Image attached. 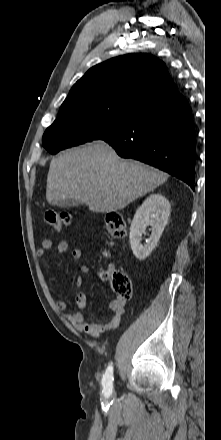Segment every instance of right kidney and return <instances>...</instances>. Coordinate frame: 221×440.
Returning a JSON list of instances; mask_svg holds the SVG:
<instances>
[{
  "label": "right kidney",
  "instance_id": "ca27d5eb",
  "mask_svg": "<svg viewBox=\"0 0 221 440\" xmlns=\"http://www.w3.org/2000/svg\"><path fill=\"white\" fill-rule=\"evenodd\" d=\"M170 215V203L161 194H152L146 198L136 211L130 227V245L135 257L144 260L157 245ZM152 232L146 244L141 242L147 226Z\"/></svg>",
  "mask_w": 221,
  "mask_h": 440
}]
</instances>
